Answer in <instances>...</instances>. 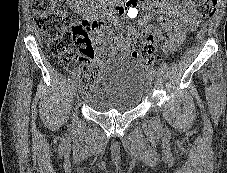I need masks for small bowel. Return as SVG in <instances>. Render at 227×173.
I'll return each instance as SVG.
<instances>
[{
  "mask_svg": "<svg viewBox=\"0 0 227 173\" xmlns=\"http://www.w3.org/2000/svg\"><path fill=\"white\" fill-rule=\"evenodd\" d=\"M129 0L118 13L119 15L136 12L137 7L142 5L149 9L152 14L158 15L163 22V31L157 30L149 23V17L140 20V25L128 28L125 31L113 34L110 32L104 37L95 39L96 50L100 55L111 57H125L131 55L132 44L136 39L161 37L160 47L167 53L174 51L183 41L185 35L194 30L200 23V16L196 11L195 0ZM156 43L153 44L155 47ZM83 66V63L80 62Z\"/></svg>",
  "mask_w": 227,
  "mask_h": 173,
  "instance_id": "small-bowel-1",
  "label": "small bowel"
}]
</instances>
